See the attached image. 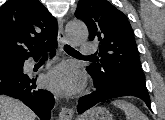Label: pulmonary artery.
<instances>
[{
    "instance_id": "1",
    "label": "pulmonary artery",
    "mask_w": 165,
    "mask_h": 120,
    "mask_svg": "<svg viewBox=\"0 0 165 120\" xmlns=\"http://www.w3.org/2000/svg\"><path fill=\"white\" fill-rule=\"evenodd\" d=\"M96 51V46L90 42H85L81 44V53L83 55H90Z\"/></svg>"
}]
</instances>
